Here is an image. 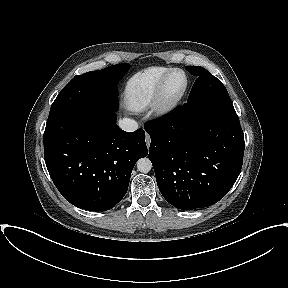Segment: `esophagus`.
Segmentation results:
<instances>
[{
	"mask_svg": "<svg viewBox=\"0 0 288 288\" xmlns=\"http://www.w3.org/2000/svg\"><path fill=\"white\" fill-rule=\"evenodd\" d=\"M145 141H146L147 146H149L150 142H151V138H150L149 134H147V133L145 134Z\"/></svg>",
	"mask_w": 288,
	"mask_h": 288,
	"instance_id": "34e87169",
	"label": "esophagus"
}]
</instances>
